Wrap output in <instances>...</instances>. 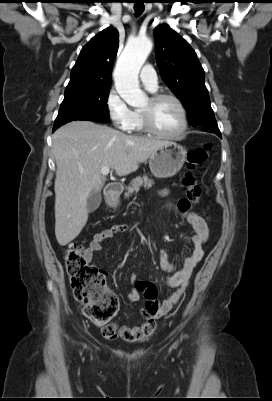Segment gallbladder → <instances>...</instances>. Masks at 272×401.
I'll return each mask as SVG.
<instances>
[{
  "mask_svg": "<svg viewBox=\"0 0 272 401\" xmlns=\"http://www.w3.org/2000/svg\"><path fill=\"white\" fill-rule=\"evenodd\" d=\"M102 200V196L100 191L93 192L92 194L89 195L87 199V210L88 212H93L95 211Z\"/></svg>",
  "mask_w": 272,
  "mask_h": 401,
  "instance_id": "obj_1",
  "label": "gallbladder"
}]
</instances>
